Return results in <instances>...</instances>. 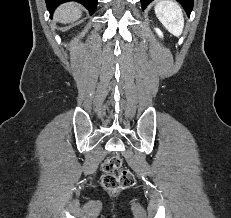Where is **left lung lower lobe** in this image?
Wrapping results in <instances>:
<instances>
[{"mask_svg": "<svg viewBox=\"0 0 231 218\" xmlns=\"http://www.w3.org/2000/svg\"><path fill=\"white\" fill-rule=\"evenodd\" d=\"M153 0H141L142 8L145 9L147 5L152 2ZM178 1L186 11L188 15H190L192 8H193V0H176Z\"/></svg>", "mask_w": 231, "mask_h": 218, "instance_id": "1", "label": "left lung lower lobe"}]
</instances>
